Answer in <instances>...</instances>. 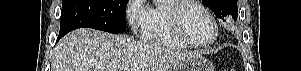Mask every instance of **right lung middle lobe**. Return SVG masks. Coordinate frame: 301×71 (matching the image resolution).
I'll list each match as a JSON object with an SVG mask.
<instances>
[{"label": "right lung middle lobe", "instance_id": "dd1d6c3e", "mask_svg": "<svg viewBox=\"0 0 301 71\" xmlns=\"http://www.w3.org/2000/svg\"><path fill=\"white\" fill-rule=\"evenodd\" d=\"M129 0H63L60 33L89 27L109 33L126 29V5Z\"/></svg>", "mask_w": 301, "mask_h": 71}]
</instances>
